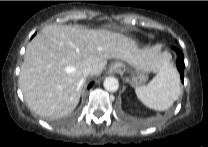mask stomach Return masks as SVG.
Segmentation results:
<instances>
[{
	"label": "stomach",
	"mask_w": 208,
	"mask_h": 147,
	"mask_svg": "<svg viewBox=\"0 0 208 147\" xmlns=\"http://www.w3.org/2000/svg\"><path fill=\"white\" fill-rule=\"evenodd\" d=\"M115 66H118L120 69H123V70H128L131 72V79H130V83L133 87H139V86H142L145 81L147 80V72L142 70V69H139V68H128L124 63H121V62H115L112 67H111V70H113V68Z\"/></svg>",
	"instance_id": "1"
}]
</instances>
